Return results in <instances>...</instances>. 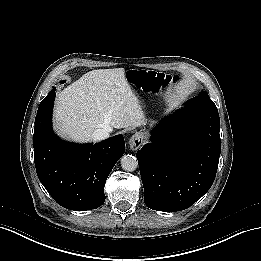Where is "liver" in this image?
Masks as SVG:
<instances>
[{"label":"liver","mask_w":261,"mask_h":261,"mask_svg":"<svg viewBox=\"0 0 261 261\" xmlns=\"http://www.w3.org/2000/svg\"><path fill=\"white\" fill-rule=\"evenodd\" d=\"M123 76V69L92 70L64 88L54 107L56 132L76 142H89L99 128L145 125L144 112Z\"/></svg>","instance_id":"liver-1"}]
</instances>
